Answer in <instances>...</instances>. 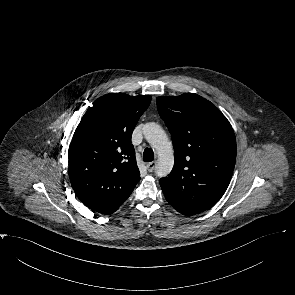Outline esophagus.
Segmentation results:
<instances>
[{
  "label": "esophagus",
  "mask_w": 295,
  "mask_h": 295,
  "mask_svg": "<svg viewBox=\"0 0 295 295\" xmlns=\"http://www.w3.org/2000/svg\"><path fill=\"white\" fill-rule=\"evenodd\" d=\"M146 166H147V169L149 172H153L156 167V162L155 161L149 162V163H147Z\"/></svg>",
  "instance_id": "esophagus-1"
}]
</instances>
